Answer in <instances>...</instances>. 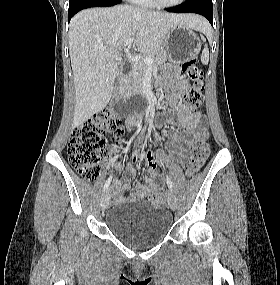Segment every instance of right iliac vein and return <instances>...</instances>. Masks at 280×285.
Masks as SVG:
<instances>
[{"label":"right iliac vein","instance_id":"right-iliac-vein-1","mask_svg":"<svg viewBox=\"0 0 280 285\" xmlns=\"http://www.w3.org/2000/svg\"><path fill=\"white\" fill-rule=\"evenodd\" d=\"M110 202V190L105 191L101 198V208L102 210H106Z\"/></svg>","mask_w":280,"mask_h":285}]
</instances>
